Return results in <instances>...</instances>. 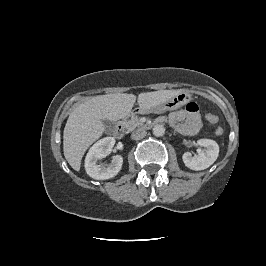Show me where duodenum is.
Masks as SVG:
<instances>
[{"instance_id": "duodenum-1", "label": "duodenum", "mask_w": 266, "mask_h": 266, "mask_svg": "<svg viewBox=\"0 0 266 266\" xmlns=\"http://www.w3.org/2000/svg\"><path fill=\"white\" fill-rule=\"evenodd\" d=\"M137 111H134L133 114H136ZM114 135L116 138H121L124 135V125L123 123H118L114 130Z\"/></svg>"}]
</instances>
